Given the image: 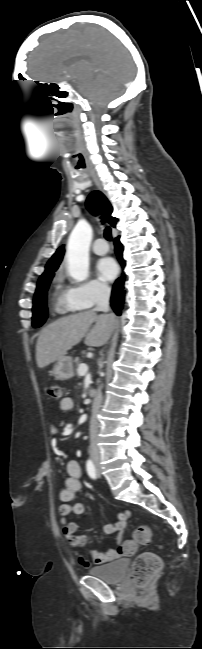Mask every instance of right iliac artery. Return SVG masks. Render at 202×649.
<instances>
[{
    "label": "right iliac artery",
    "instance_id": "82829eb1",
    "mask_svg": "<svg viewBox=\"0 0 202 649\" xmlns=\"http://www.w3.org/2000/svg\"><path fill=\"white\" fill-rule=\"evenodd\" d=\"M87 473L92 479H96V469L91 460H88L86 463Z\"/></svg>",
    "mask_w": 202,
    "mask_h": 649
}]
</instances>
